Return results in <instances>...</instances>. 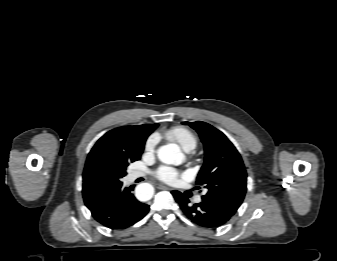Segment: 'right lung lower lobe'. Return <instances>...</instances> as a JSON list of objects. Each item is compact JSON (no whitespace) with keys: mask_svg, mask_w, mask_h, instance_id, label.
Masks as SVG:
<instances>
[{"mask_svg":"<svg viewBox=\"0 0 337 261\" xmlns=\"http://www.w3.org/2000/svg\"><path fill=\"white\" fill-rule=\"evenodd\" d=\"M133 186L122 188V183L107 192L90 209L92 216L110 229H125L141 220L149 211V206L139 202L131 193Z\"/></svg>","mask_w":337,"mask_h":261,"instance_id":"obj_1","label":"right lung lower lobe"}]
</instances>
